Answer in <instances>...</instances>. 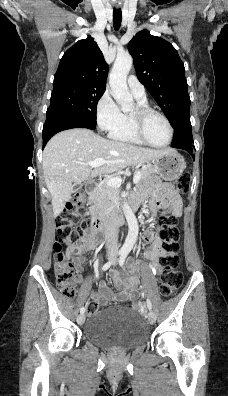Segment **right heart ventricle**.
I'll list each match as a JSON object with an SVG mask.
<instances>
[{
    "label": "right heart ventricle",
    "mask_w": 228,
    "mask_h": 396,
    "mask_svg": "<svg viewBox=\"0 0 228 396\" xmlns=\"http://www.w3.org/2000/svg\"><path fill=\"white\" fill-rule=\"evenodd\" d=\"M136 99L138 101V104L146 105V106L148 105L146 98L145 99L136 98ZM109 135L114 140L137 144V145L143 144V142L137 137L134 131L130 114H124V120L122 124L117 128L113 129L112 131H110Z\"/></svg>",
    "instance_id": "right-heart-ventricle-1"
}]
</instances>
